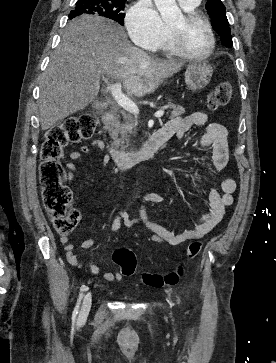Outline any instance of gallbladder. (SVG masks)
<instances>
[{"mask_svg": "<svg viewBox=\"0 0 276 363\" xmlns=\"http://www.w3.org/2000/svg\"><path fill=\"white\" fill-rule=\"evenodd\" d=\"M102 106V102L96 100L92 103V108L95 109V110H99Z\"/></svg>", "mask_w": 276, "mask_h": 363, "instance_id": "bac80fb5", "label": "gallbladder"}]
</instances>
